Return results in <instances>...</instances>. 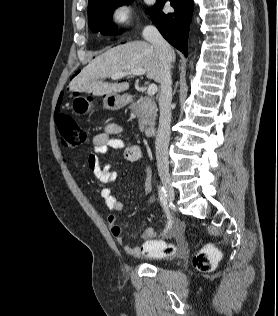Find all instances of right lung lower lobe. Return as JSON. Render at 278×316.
I'll return each instance as SVG.
<instances>
[{"label": "right lung lower lobe", "instance_id": "right-lung-lower-lobe-1", "mask_svg": "<svg viewBox=\"0 0 278 316\" xmlns=\"http://www.w3.org/2000/svg\"><path fill=\"white\" fill-rule=\"evenodd\" d=\"M166 0H157L151 11L152 20L163 37L187 57V38L193 0H169L174 13L164 14L162 7Z\"/></svg>", "mask_w": 278, "mask_h": 316}]
</instances>
